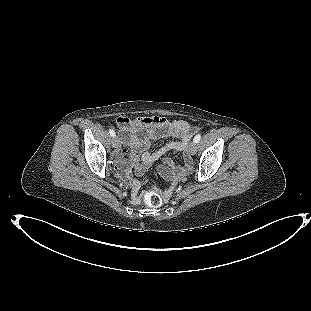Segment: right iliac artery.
<instances>
[{
  "label": "right iliac artery",
  "instance_id": "82829eb1",
  "mask_svg": "<svg viewBox=\"0 0 311 311\" xmlns=\"http://www.w3.org/2000/svg\"><path fill=\"white\" fill-rule=\"evenodd\" d=\"M109 134H110V136L114 137L115 136V131L113 129H110L109 130Z\"/></svg>",
  "mask_w": 311,
  "mask_h": 311
}]
</instances>
